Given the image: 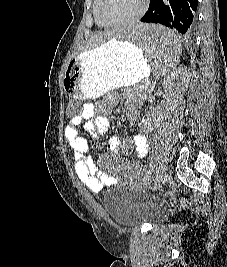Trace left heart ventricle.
<instances>
[{
  "label": "left heart ventricle",
  "instance_id": "left-heart-ventricle-1",
  "mask_svg": "<svg viewBox=\"0 0 227 267\" xmlns=\"http://www.w3.org/2000/svg\"><path fill=\"white\" fill-rule=\"evenodd\" d=\"M142 0H105L104 11L111 20L127 19L141 8Z\"/></svg>",
  "mask_w": 227,
  "mask_h": 267
}]
</instances>
